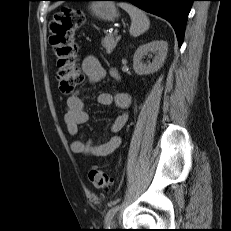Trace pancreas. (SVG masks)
I'll return each mask as SVG.
<instances>
[{
    "instance_id": "pancreas-1",
    "label": "pancreas",
    "mask_w": 231,
    "mask_h": 231,
    "mask_svg": "<svg viewBox=\"0 0 231 231\" xmlns=\"http://www.w3.org/2000/svg\"><path fill=\"white\" fill-rule=\"evenodd\" d=\"M119 40L120 37H117L115 34H108L105 38L102 39L101 44L105 48L106 53L110 54L116 47Z\"/></svg>"
}]
</instances>
